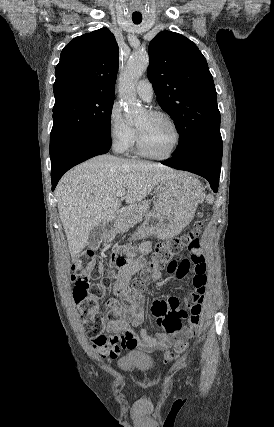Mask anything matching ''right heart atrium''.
Returning a JSON list of instances; mask_svg holds the SVG:
<instances>
[{
	"label": "right heart atrium",
	"instance_id": "1",
	"mask_svg": "<svg viewBox=\"0 0 274 427\" xmlns=\"http://www.w3.org/2000/svg\"><path fill=\"white\" fill-rule=\"evenodd\" d=\"M107 127L110 143L115 150L127 152L133 147L135 131L125 122L117 105H113L109 111Z\"/></svg>",
	"mask_w": 274,
	"mask_h": 427
}]
</instances>
